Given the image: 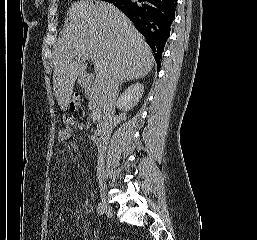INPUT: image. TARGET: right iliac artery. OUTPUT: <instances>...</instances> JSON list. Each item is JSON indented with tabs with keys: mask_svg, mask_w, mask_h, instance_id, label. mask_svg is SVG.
Returning a JSON list of instances; mask_svg holds the SVG:
<instances>
[{
	"mask_svg": "<svg viewBox=\"0 0 257 240\" xmlns=\"http://www.w3.org/2000/svg\"><path fill=\"white\" fill-rule=\"evenodd\" d=\"M103 212H104V210H103L102 204L99 203V204L97 205V213H98L99 215H102Z\"/></svg>",
	"mask_w": 257,
	"mask_h": 240,
	"instance_id": "right-iliac-artery-1",
	"label": "right iliac artery"
}]
</instances>
